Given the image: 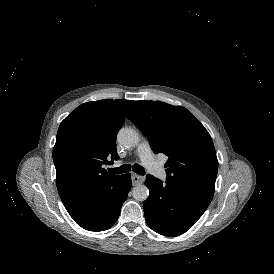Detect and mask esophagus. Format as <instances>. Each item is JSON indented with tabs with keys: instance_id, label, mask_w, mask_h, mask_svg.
<instances>
[{
	"instance_id": "1",
	"label": "esophagus",
	"mask_w": 274,
	"mask_h": 274,
	"mask_svg": "<svg viewBox=\"0 0 274 274\" xmlns=\"http://www.w3.org/2000/svg\"><path fill=\"white\" fill-rule=\"evenodd\" d=\"M131 179H132V184L134 186L142 184L144 182V180H145V178L143 176H140V175H138L136 173H132L131 174Z\"/></svg>"
}]
</instances>
